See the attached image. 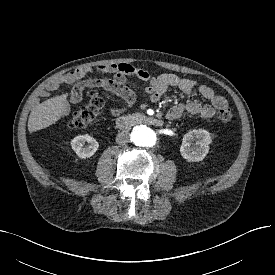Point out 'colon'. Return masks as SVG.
Masks as SVG:
<instances>
[{
  "instance_id": "obj_1",
  "label": "colon",
  "mask_w": 275,
  "mask_h": 275,
  "mask_svg": "<svg viewBox=\"0 0 275 275\" xmlns=\"http://www.w3.org/2000/svg\"><path fill=\"white\" fill-rule=\"evenodd\" d=\"M103 107V98L96 91L89 90L88 101L72 114L68 126L71 129H81L88 126L98 118ZM218 118L223 123H229L233 118L232 109L228 106L219 109Z\"/></svg>"
}]
</instances>
